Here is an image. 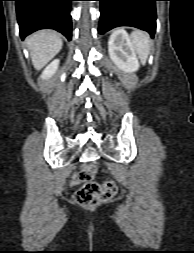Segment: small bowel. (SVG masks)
<instances>
[{"label": "small bowel", "instance_id": "1", "mask_svg": "<svg viewBox=\"0 0 194 253\" xmlns=\"http://www.w3.org/2000/svg\"><path fill=\"white\" fill-rule=\"evenodd\" d=\"M79 182L77 175H74L72 178V184L75 185Z\"/></svg>", "mask_w": 194, "mask_h": 253}]
</instances>
